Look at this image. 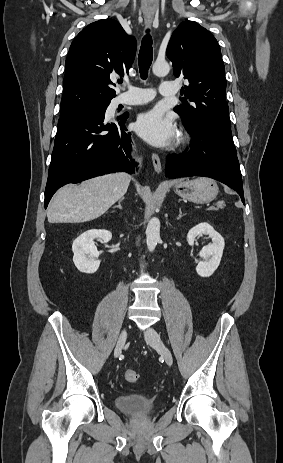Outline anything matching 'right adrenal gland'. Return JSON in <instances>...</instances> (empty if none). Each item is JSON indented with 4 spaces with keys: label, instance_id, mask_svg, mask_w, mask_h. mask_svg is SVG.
Masks as SVG:
<instances>
[{
    "label": "right adrenal gland",
    "instance_id": "obj_1",
    "mask_svg": "<svg viewBox=\"0 0 283 463\" xmlns=\"http://www.w3.org/2000/svg\"><path fill=\"white\" fill-rule=\"evenodd\" d=\"M123 200H124V197H122V198L118 201V205H117V206H114L113 208H119V209L122 210V205H121V203H122Z\"/></svg>",
    "mask_w": 283,
    "mask_h": 463
}]
</instances>
